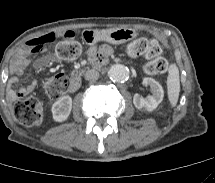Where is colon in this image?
Instances as JSON below:
<instances>
[{"label": "colon", "mask_w": 215, "mask_h": 183, "mask_svg": "<svg viewBox=\"0 0 215 183\" xmlns=\"http://www.w3.org/2000/svg\"><path fill=\"white\" fill-rule=\"evenodd\" d=\"M47 47V43L42 41L37 43L33 51L38 52ZM81 45L75 40L73 32H68L65 38L56 47V55L65 60H72L81 54ZM127 53L131 57L144 55L150 60L145 65L146 73L157 75L164 73L168 68V60L160 56L162 48L156 39L138 38L127 46ZM69 86L68 78L63 74H57L48 78L44 82L46 93L53 99L64 94ZM14 116L17 121L26 127H36L43 119V105L36 97H26L18 100L14 105Z\"/></svg>", "instance_id": "obj_1"}]
</instances>
